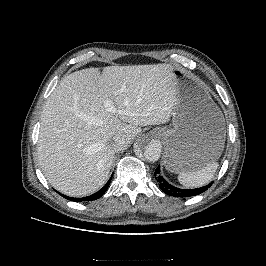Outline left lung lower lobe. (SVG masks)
<instances>
[{
    "instance_id": "1",
    "label": "left lung lower lobe",
    "mask_w": 266,
    "mask_h": 266,
    "mask_svg": "<svg viewBox=\"0 0 266 266\" xmlns=\"http://www.w3.org/2000/svg\"><path fill=\"white\" fill-rule=\"evenodd\" d=\"M157 182L159 183V187L161 188L164 193L170 196H175V197H190L194 195H198L200 193H203L204 191L207 190L208 187L211 186V184L200 187V188H195V189H179L176 188L172 185H170L161 175H160V166L156 168V171L154 173Z\"/></svg>"
}]
</instances>
